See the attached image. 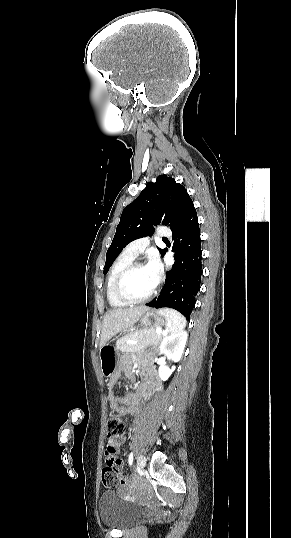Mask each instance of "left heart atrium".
Masks as SVG:
<instances>
[{
    "instance_id": "left-heart-atrium-1",
    "label": "left heart atrium",
    "mask_w": 291,
    "mask_h": 538,
    "mask_svg": "<svg viewBox=\"0 0 291 538\" xmlns=\"http://www.w3.org/2000/svg\"><path fill=\"white\" fill-rule=\"evenodd\" d=\"M145 267L153 277L155 283H157L162 274V265L159 258L156 255H152Z\"/></svg>"
}]
</instances>
